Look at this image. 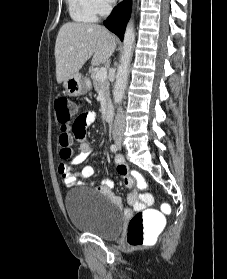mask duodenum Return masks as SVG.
Segmentation results:
<instances>
[{
	"mask_svg": "<svg viewBox=\"0 0 227 279\" xmlns=\"http://www.w3.org/2000/svg\"><path fill=\"white\" fill-rule=\"evenodd\" d=\"M104 116H105L106 120H108V121L112 120L113 109L111 106H106V108L104 109Z\"/></svg>",
	"mask_w": 227,
	"mask_h": 279,
	"instance_id": "obj_1",
	"label": "duodenum"
}]
</instances>
